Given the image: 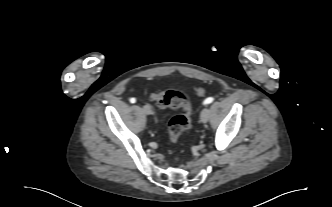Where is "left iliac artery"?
Wrapping results in <instances>:
<instances>
[{"mask_svg":"<svg viewBox=\"0 0 332 207\" xmlns=\"http://www.w3.org/2000/svg\"><path fill=\"white\" fill-rule=\"evenodd\" d=\"M214 101V98L213 97H209L207 99L204 100L203 104L206 105V104H210Z\"/></svg>","mask_w":332,"mask_h":207,"instance_id":"1","label":"left iliac artery"}]
</instances>
